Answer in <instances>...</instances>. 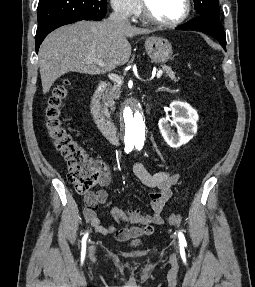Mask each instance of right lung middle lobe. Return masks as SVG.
Instances as JSON below:
<instances>
[{
	"label": "right lung middle lobe",
	"instance_id": "1",
	"mask_svg": "<svg viewBox=\"0 0 255 287\" xmlns=\"http://www.w3.org/2000/svg\"><path fill=\"white\" fill-rule=\"evenodd\" d=\"M106 0H40L38 25L66 17L101 20L106 15Z\"/></svg>",
	"mask_w": 255,
	"mask_h": 287
}]
</instances>
